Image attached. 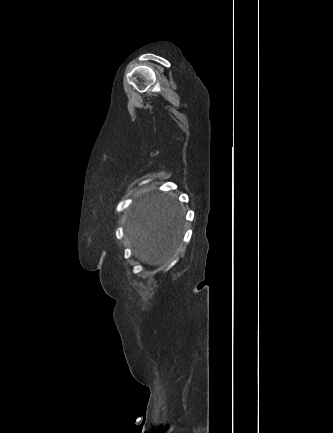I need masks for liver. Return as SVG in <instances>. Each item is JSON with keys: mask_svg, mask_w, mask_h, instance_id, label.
<instances>
[{"mask_svg": "<svg viewBox=\"0 0 333 433\" xmlns=\"http://www.w3.org/2000/svg\"><path fill=\"white\" fill-rule=\"evenodd\" d=\"M183 230V213L174 195L155 192L133 204L125 228L134 256L153 265L171 258L181 243Z\"/></svg>", "mask_w": 333, "mask_h": 433, "instance_id": "liver-1", "label": "liver"}]
</instances>
